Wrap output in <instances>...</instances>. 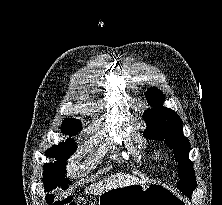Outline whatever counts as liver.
I'll return each mask as SVG.
<instances>
[{
  "mask_svg": "<svg viewBox=\"0 0 222 205\" xmlns=\"http://www.w3.org/2000/svg\"><path fill=\"white\" fill-rule=\"evenodd\" d=\"M138 183H142V181L135 176L129 174H116L108 177L103 181L92 184L86 190L94 195H100L101 193L110 189Z\"/></svg>",
  "mask_w": 222,
  "mask_h": 205,
  "instance_id": "liver-1",
  "label": "liver"
}]
</instances>
